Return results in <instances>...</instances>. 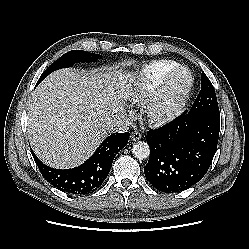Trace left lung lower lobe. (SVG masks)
<instances>
[{
  "label": "left lung lower lobe",
  "instance_id": "left-lung-lower-lobe-1",
  "mask_svg": "<svg viewBox=\"0 0 249 249\" xmlns=\"http://www.w3.org/2000/svg\"><path fill=\"white\" fill-rule=\"evenodd\" d=\"M220 116L180 115L146 136L150 157L146 179L165 193L188 189L203 178L215 155Z\"/></svg>",
  "mask_w": 249,
  "mask_h": 249
}]
</instances>
